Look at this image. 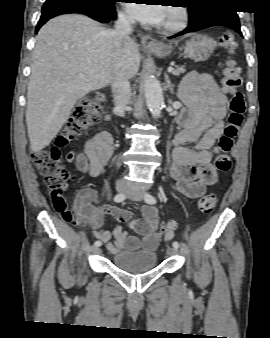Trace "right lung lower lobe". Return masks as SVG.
Here are the masks:
<instances>
[{"label": "right lung lower lobe", "mask_w": 270, "mask_h": 338, "mask_svg": "<svg viewBox=\"0 0 270 338\" xmlns=\"http://www.w3.org/2000/svg\"><path fill=\"white\" fill-rule=\"evenodd\" d=\"M65 13L84 14L102 23H106L111 18H115L116 16L114 5L102 6L97 4H89L85 2L45 3L42 7V15L37 24L36 33L38 32L40 27L43 24H45L50 18Z\"/></svg>", "instance_id": "1"}]
</instances>
